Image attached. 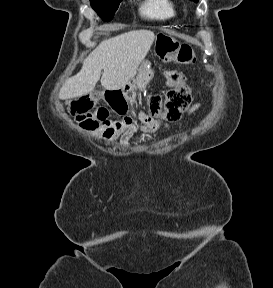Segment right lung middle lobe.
<instances>
[{"label":"right lung middle lobe","mask_w":273,"mask_h":288,"mask_svg":"<svg viewBox=\"0 0 273 288\" xmlns=\"http://www.w3.org/2000/svg\"><path fill=\"white\" fill-rule=\"evenodd\" d=\"M122 0H90L91 6L104 21H110Z\"/></svg>","instance_id":"1"}]
</instances>
